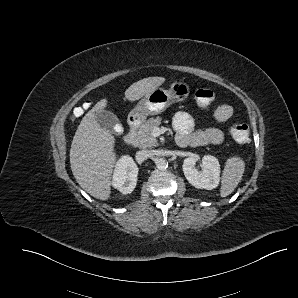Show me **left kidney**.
Segmentation results:
<instances>
[{"instance_id": "5707ae66", "label": "left kidney", "mask_w": 298, "mask_h": 298, "mask_svg": "<svg viewBox=\"0 0 298 298\" xmlns=\"http://www.w3.org/2000/svg\"><path fill=\"white\" fill-rule=\"evenodd\" d=\"M195 157L185 158L182 170L187 181L197 189L212 190L218 187L220 182V163L215 156L204 155L202 158V169L195 168Z\"/></svg>"}]
</instances>
